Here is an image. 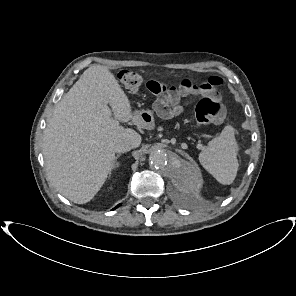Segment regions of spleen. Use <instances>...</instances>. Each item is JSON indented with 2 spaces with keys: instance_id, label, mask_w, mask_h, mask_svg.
I'll use <instances>...</instances> for the list:
<instances>
[{
  "instance_id": "obj_1",
  "label": "spleen",
  "mask_w": 296,
  "mask_h": 296,
  "mask_svg": "<svg viewBox=\"0 0 296 296\" xmlns=\"http://www.w3.org/2000/svg\"><path fill=\"white\" fill-rule=\"evenodd\" d=\"M199 161L218 182L231 184L237 174V143L232 126L224 127L199 154Z\"/></svg>"
}]
</instances>
